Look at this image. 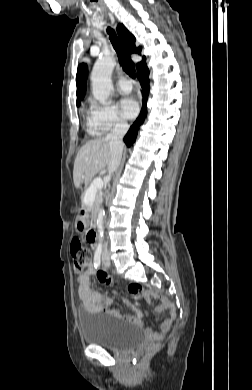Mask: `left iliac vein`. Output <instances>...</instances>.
<instances>
[{
  "mask_svg": "<svg viewBox=\"0 0 252 390\" xmlns=\"http://www.w3.org/2000/svg\"><path fill=\"white\" fill-rule=\"evenodd\" d=\"M110 264H111V263H110L109 257H108V256H105V257L103 258V265L106 266V267H109Z\"/></svg>",
  "mask_w": 252,
  "mask_h": 390,
  "instance_id": "left-iliac-vein-1",
  "label": "left iliac vein"
}]
</instances>
